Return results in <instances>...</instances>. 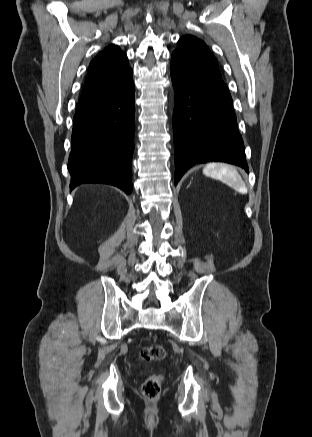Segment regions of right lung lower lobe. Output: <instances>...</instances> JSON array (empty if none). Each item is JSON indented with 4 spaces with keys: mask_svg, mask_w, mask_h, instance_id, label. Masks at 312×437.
Listing matches in <instances>:
<instances>
[{
    "mask_svg": "<svg viewBox=\"0 0 312 437\" xmlns=\"http://www.w3.org/2000/svg\"><path fill=\"white\" fill-rule=\"evenodd\" d=\"M134 96L131 72L113 89L78 102L68 162L70 190L82 184L102 183L131 193Z\"/></svg>",
    "mask_w": 312,
    "mask_h": 437,
    "instance_id": "obj_1",
    "label": "right lung lower lobe"
}]
</instances>
